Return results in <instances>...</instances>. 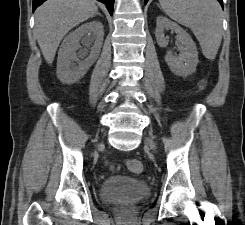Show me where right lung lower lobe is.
<instances>
[{
    "instance_id": "right-lung-lower-lobe-1",
    "label": "right lung lower lobe",
    "mask_w": 245,
    "mask_h": 225,
    "mask_svg": "<svg viewBox=\"0 0 245 225\" xmlns=\"http://www.w3.org/2000/svg\"><path fill=\"white\" fill-rule=\"evenodd\" d=\"M44 1L46 0H33V11L39 6L41 5ZM104 4H106L107 9L109 10V13L112 15L113 13V4H114V0H98Z\"/></svg>"
}]
</instances>
